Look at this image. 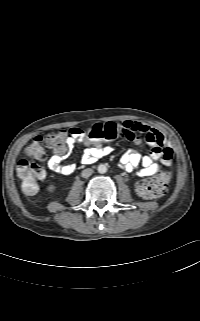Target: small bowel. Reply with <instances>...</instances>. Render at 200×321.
Masks as SVG:
<instances>
[{
  "label": "small bowel",
  "instance_id": "1",
  "mask_svg": "<svg viewBox=\"0 0 200 321\" xmlns=\"http://www.w3.org/2000/svg\"><path fill=\"white\" fill-rule=\"evenodd\" d=\"M93 127H98L102 131H113L117 137H124L135 144L145 141L150 146L151 151L148 155H142L139 152L130 150L120 158V164L126 172L136 170L140 177H149L158 173L160 170L158 161L164 164L168 151H172L168 140L159 130L140 122L126 120L121 123H97L90 126L89 129ZM78 130L79 128L70 129L72 135L69 137L64 150L53 149L54 154L47 160V166L53 172L62 175H71L75 172L76 165L64 163L63 159L76 140L81 139L89 146L82 156V160L86 163L93 162L95 159L109 154L108 148L95 144L87 137L79 135L77 133Z\"/></svg>",
  "mask_w": 200,
  "mask_h": 321
}]
</instances>
